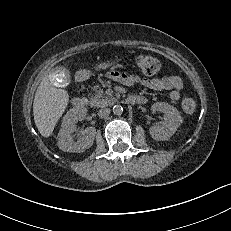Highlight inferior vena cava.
Returning <instances> with one entry per match:
<instances>
[{
  "instance_id": "obj_1",
  "label": "inferior vena cava",
  "mask_w": 231,
  "mask_h": 231,
  "mask_svg": "<svg viewBox=\"0 0 231 231\" xmlns=\"http://www.w3.org/2000/svg\"><path fill=\"white\" fill-rule=\"evenodd\" d=\"M110 114V109L109 108H102L98 111V116L101 118H106Z\"/></svg>"
}]
</instances>
